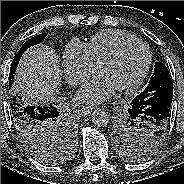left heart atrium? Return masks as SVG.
<instances>
[{"label": "left heart atrium", "mask_w": 184, "mask_h": 184, "mask_svg": "<svg viewBox=\"0 0 184 184\" xmlns=\"http://www.w3.org/2000/svg\"><path fill=\"white\" fill-rule=\"evenodd\" d=\"M116 88L103 74H98L80 89L78 98L88 103H99L113 95Z\"/></svg>", "instance_id": "39dd6f15"}]
</instances>
